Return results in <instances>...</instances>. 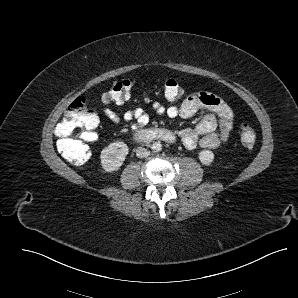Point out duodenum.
<instances>
[{"mask_svg": "<svg viewBox=\"0 0 298 298\" xmlns=\"http://www.w3.org/2000/svg\"><path fill=\"white\" fill-rule=\"evenodd\" d=\"M138 142L165 141L172 143L175 136L167 130L151 129L138 131L134 135Z\"/></svg>", "mask_w": 298, "mask_h": 298, "instance_id": "410a0bca", "label": "duodenum"}]
</instances>
